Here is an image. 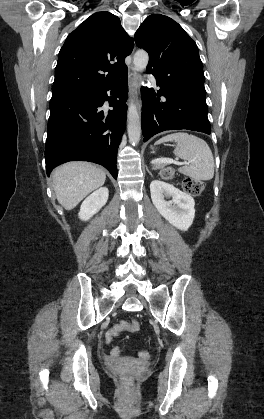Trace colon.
<instances>
[{
  "mask_svg": "<svg viewBox=\"0 0 264 419\" xmlns=\"http://www.w3.org/2000/svg\"><path fill=\"white\" fill-rule=\"evenodd\" d=\"M161 176L165 180H172L174 177V171L171 168H165L162 170ZM182 187L186 193L190 195H198L203 189V184L200 181L187 178L183 181ZM138 330H139L138 321L134 319L122 321L119 323L118 329L112 330L108 334V336L105 337V339H111L112 337L114 338L117 335V333H120L122 331L136 332ZM138 355L141 359H145V360L149 359L150 357V353L147 351H140Z\"/></svg>",
  "mask_w": 264,
  "mask_h": 419,
  "instance_id": "obj_1",
  "label": "colon"
}]
</instances>
